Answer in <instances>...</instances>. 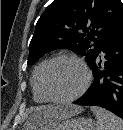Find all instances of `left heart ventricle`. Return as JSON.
<instances>
[{
	"label": "left heart ventricle",
	"instance_id": "1",
	"mask_svg": "<svg viewBox=\"0 0 123 130\" xmlns=\"http://www.w3.org/2000/svg\"><path fill=\"white\" fill-rule=\"evenodd\" d=\"M85 80L83 69L72 60H60L50 69L47 77L48 88L59 98L76 94Z\"/></svg>",
	"mask_w": 123,
	"mask_h": 130
}]
</instances>
